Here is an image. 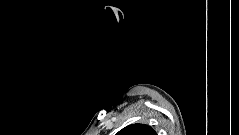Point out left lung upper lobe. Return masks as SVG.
<instances>
[{"mask_svg":"<svg viewBox=\"0 0 239 135\" xmlns=\"http://www.w3.org/2000/svg\"><path fill=\"white\" fill-rule=\"evenodd\" d=\"M116 135H157L156 132L145 124H131L124 127Z\"/></svg>","mask_w":239,"mask_h":135,"instance_id":"1","label":"left lung upper lobe"}]
</instances>
